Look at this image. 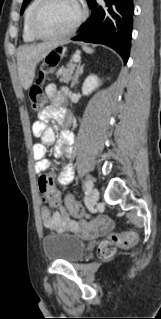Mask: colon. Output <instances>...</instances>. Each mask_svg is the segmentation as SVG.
I'll return each instance as SVG.
<instances>
[{
    "instance_id": "5ec220e1",
    "label": "colon",
    "mask_w": 161,
    "mask_h": 319,
    "mask_svg": "<svg viewBox=\"0 0 161 319\" xmlns=\"http://www.w3.org/2000/svg\"><path fill=\"white\" fill-rule=\"evenodd\" d=\"M60 62V51H52L43 60L39 75L34 83L29 88V98L31 108L33 111L38 112L44 105L43 94V81L46 75L55 68ZM41 197L44 203L60 206L62 204V197L60 193L52 191L53 178L49 175H44L40 178ZM68 213L70 215L80 216L83 214L84 209L81 205L72 203L67 204ZM138 236L134 232L128 233H113L106 240H103L98 246V253L103 258L113 256L117 248H129L136 245Z\"/></svg>"
}]
</instances>
